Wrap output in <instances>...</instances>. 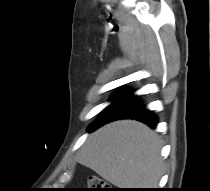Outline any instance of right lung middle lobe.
Here are the masks:
<instances>
[{"label": "right lung middle lobe", "mask_w": 210, "mask_h": 191, "mask_svg": "<svg viewBox=\"0 0 210 191\" xmlns=\"http://www.w3.org/2000/svg\"><path fill=\"white\" fill-rule=\"evenodd\" d=\"M95 123H96V121L91 125V127H92ZM91 127H90V128H91Z\"/></svg>", "instance_id": "dd1d6c3e"}]
</instances>
